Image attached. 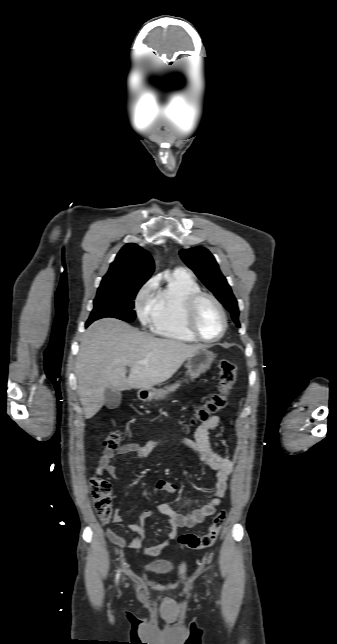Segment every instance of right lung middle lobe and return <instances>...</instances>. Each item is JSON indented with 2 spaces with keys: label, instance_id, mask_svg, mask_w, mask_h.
I'll list each match as a JSON object with an SVG mask.
<instances>
[{
  "label": "right lung middle lobe",
  "instance_id": "1",
  "mask_svg": "<svg viewBox=\"0 0 337 644\" xmlns=\"http://www.w3.org/2000/svg\"><path fill=\"white\" fill-rule=\"evenodd\" d=\"M143 283L123 286H100L94 300V308L86 322V326L93 321L113 317L131 322L135 319V296Z\"/></svg>",
  "mask_w": 337,
  "mask_h": 644
}]
</instances>
